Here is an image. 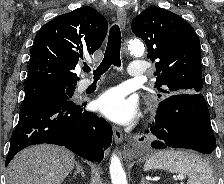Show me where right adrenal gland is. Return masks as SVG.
I'll return each mask as SVG.
<instances>
[{"label":"right adrenal gland","mask_w":224,"mask_h":184,"mask_svg":"<svg viewBox=\"0 0 224 184\" xmlns=\"http://www.w3.org/2000/svg\"><path fill=\"white\" fill-rule=\"evenodd\" d=\"M75 165H76V171L73 174L74 177H76L77 174L81 173V176L84 178L85 177V173H84V170L81 167V165L77 161L75 162Z\"/></svg>","instance_id":"1"}]
</instances>
